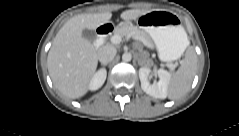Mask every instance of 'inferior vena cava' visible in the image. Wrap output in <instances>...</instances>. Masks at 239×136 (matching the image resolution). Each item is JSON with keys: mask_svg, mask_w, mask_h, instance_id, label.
<instances>
[{"mask_svg": "<svg viewBox=\"0 0 239 136\" xmlns=\"http://www.w3.org/2000/svg\"><path fill=\"white\" fill-rule=\"evenodd\" d=\"M116 53L117 50L115 47L112 45H105L97 52L98 60L101 62V64L106 65L114 59Z\"/></svg>", "mask_w": 239, "mask_h": 136, "instance_id": "obj_1", "label": "inferior vena cava"}]
</instances>
